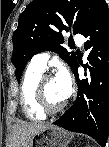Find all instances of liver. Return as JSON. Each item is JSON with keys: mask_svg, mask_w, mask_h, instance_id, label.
I'll return each instance as SVG.
<instances>
[{"mask_svg": "<svg viewBox=\"0 0 109 147\" xmlns=\"http://www.w3.org/2000/svg\"><path fill=\"white\" fill-rule=\"evenodd\" d=\"M51 124L19 122L12 127L9 147H30L32 138Z\"/></svg>", "mask_w": 109, "mask_h": 147, "instance_id": "6515ba94", "label": "liver"}]
</instances>
